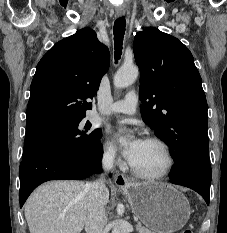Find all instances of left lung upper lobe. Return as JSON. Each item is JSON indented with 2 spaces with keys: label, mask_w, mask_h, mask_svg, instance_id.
Instances as JSON below:
<instances>
[{
  "label": "left lung upper lobe",
  "mask_w": 227,
  "mask_h": 233,
  "mask_svg": "<svg viewBox=\"0 0 227 233\" xmlns=\"http://www.w3.org/2000/svg\"><path fill=\"white\" fill-rule=\"evenodd\" d=\"M133 51L140 69L141 115L170 149L171 176L211 184L207 102L191 52L156 28L137 33Z\"/></svg>",
  "instance_id": "1"
}]
</instances>
